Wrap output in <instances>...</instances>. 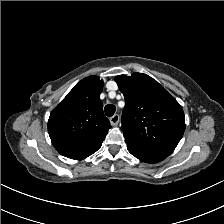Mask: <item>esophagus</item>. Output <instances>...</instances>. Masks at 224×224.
Instances as JSON below:
<instances>
[{"label":"esophagus","mask_w":224,"mask_h":224,"mask_svg":"<svg viewBox=\"0 0 224 224\" xmlns=\"http://www.w3.org/2000/svg\"><path fill=\"white\" fill-rule=\"evenodd\" d=\"M119 120H120L119 115H118V114H115V115H113V116L110 118V123H111L112 126H116V125H118Z\"/></svg>","instance_id":"obj_1"}]
</instances>
